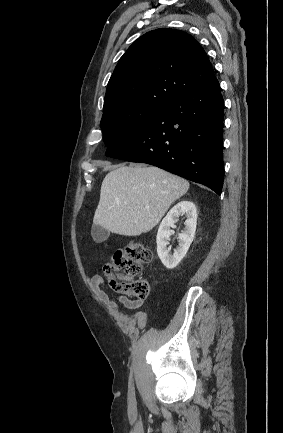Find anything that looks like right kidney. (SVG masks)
Here are the masks:
<instances>
[{"instance_id": "ca27d5eb", "label": "right kidney", "mask_w": 283, "mask_h": 433, "mask_svg": "<svg viewBox=\"0 0 283 433\" xmlns=\"http://www.w3.org/2000/svg\"><path fill=\"white\" fill-rule=\"evenodd\" d=\"M185 216V228L179 234V246L174 250L173 255L169 254L167 248L168 240L172 234L170 227L176 223L180 216ZM197 225V210L196 206L191 201H181L176 204L162 220L157 237V254L167 269L175 268L186 255L190 244L193 241Z\"/></svg>"}]
</instances>
